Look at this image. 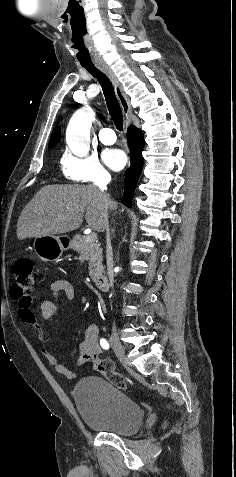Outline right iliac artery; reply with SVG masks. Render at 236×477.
Instances as JSON below:
<instances>
[{
    "mask_svg": "<svg viewBox=\"0 0 236 477\" xmlns=\"http://www.w3.org/2000/svg\"><path fill=\"white\" fill-rule=\"evenodd\" d=\"M100 344L103 349L108 350L109 349V343L107 342L106 339L102 338L100 339Z\"/></svg>",
    "mask_w": 236,
    "mask_h": 477,
    "instance_id": "obj_1",
    "label": "right iliac artery"
}]
</instances>
